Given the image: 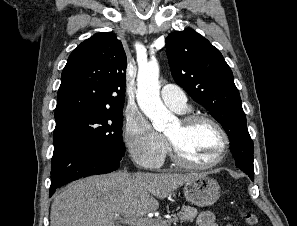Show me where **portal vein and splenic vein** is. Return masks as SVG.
<instances>
[{
  "label": "portal vein and splenic vein",
  "mask_w": 297,
  "mask_h": 226,
  "mask_svg": "<svg viewBox=\"0 0 297 226\" xmlns=\"http://www.w3.org/2000/svg\"><path fill=\"white\" fill-rule=\"evenodd\" d=\"M124 222L131 225H136V226H152L155 223V219L137 217V218H131L129 220H125Z\"/></svg>",
  "instance_id": "obj_1"
}]
</instances>
